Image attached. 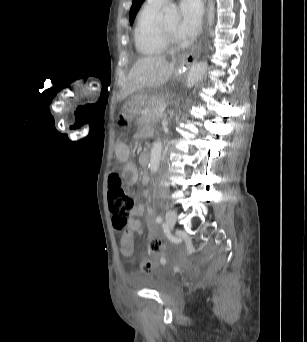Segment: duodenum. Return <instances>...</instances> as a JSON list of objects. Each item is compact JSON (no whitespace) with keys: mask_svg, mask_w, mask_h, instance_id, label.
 Instances as JSON below:
<instances>
[{"mask_svg":"<svg viewBox=\"0 0 307 342\" xmlns=\"http://www.w3.org/2000/svg\"><path fill=\"white\" fill-rule=\"evenodd\" d=\"M142 154H144V155L141 156L140 163L142 166H148L149 162H150V156L147 155L146 153H142Z\"/></svg>","mask_w":307,"mask_h":342,"instance_id":"1","label":"duodenum"}]
</instances>
